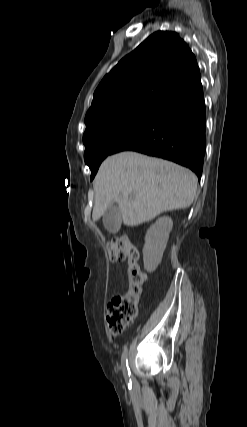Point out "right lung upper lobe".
Instances as JSON below:
<instances>
[{"instance_id":"cb5924a9","label":"right lung upper lobe","mask_w":247,"mask_h":427,"mask_svg":"<svg viewBox=\"0 0 247 427\" xmlns=\"http://www.w3.org/2000/svg\"><path fill=\"white\" fill-rule=\"evenodd\" d=\"M200 79L196 58L175 32L158 31L105 75L94 92L86 127L107 114L135 106H159Z\"/></svg>"}]
</instances>
